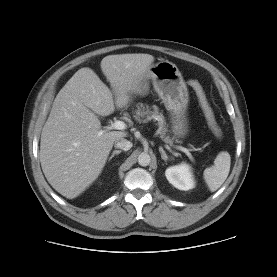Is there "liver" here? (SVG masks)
<instances>
[{
    "mask_svg": "<svg viewBox=\"0 0 277 277\" xmlns=\"http://www.w3.org/2000/svg\"><path fill=\"white\" fill-rule=\"evenodd\" d=\"M153 61L149 54L109 55L101 70L112 90L84 67L59 91L42 129L39 153L43 173L58 193L76 198L101 174L113 144L127 132L103 131L96 114L108 116L115 106H127Z\"/></svg>",
    "mask_w": 277,
    "mask_h": 277,
    "instance_id": "1",
    "label": "liver"
}]
</instances>
